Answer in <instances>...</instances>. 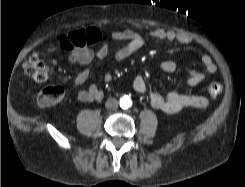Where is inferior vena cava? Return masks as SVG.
<instances>
[{"label": "inferior vena cava", "instance_id": "602c4592", "mask_svg": "<svg viewBox=\"0 0 245 187\" xmlns=\"http://www.w3.org/2000/svg\"><path fill=\"white\" fill-rule=\"evenodd\" d=\"M105 107L109 110H114L118 107V101L115 98H109L105 102Z\"/></svg>", "mask_w": 245, "mask_h": 187}]
</instances>
